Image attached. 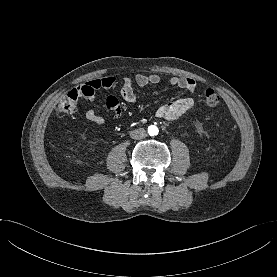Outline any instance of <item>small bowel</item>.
<instances>
[{
	"label": "small bowel",
	"instance_id": "1",
	"mask_svg": "<svg viewBox=\"0 0 277 277\" xmlns=\"http://www.w3.org/2000/svg\"><path fill=\"white\" fill-rule=\"evenodd\" d=\"M160 82L161 78L156 74H138L133 78L125 77L121 82L120 95L124 101L133 103L136 100V86L146 87L149 85H158ZM169 83L172 86L186 90L190 95H194L197 90L196 81L191 78L172 77ZM115 84V78L104 77L86 82L79 90L84 99L92 102L95 99L97 90L111 89ZM193 106L194 100L192 97L178 98L159 107L156 111V116L164 120L173 121L184 115ZM106 107L113 113L114 118H118L121 115V107L117 97L108 96L106 99ZM85 116L89 121L98 125L106 122V118L98 115L93 109L87 110Z\"/></svg>",
	"mask_w": 277,
	"mask_h": 277
}]
</instances>
